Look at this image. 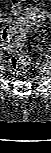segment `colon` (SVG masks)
I'll return each mask as SVG.
<instances>
[{"label":"colon","instance_id":"1","mask_svg":"<svg viewBox=\"0 0 51 153\" xmlns=\"http://www.w3.org/2000/svg\"><path fill=\"white\" fill-rule=\"evenodd\" d=\"M11 9L17 13L19 10V0L11 1ZM33 16L41 13L39 11H29ZM37 25L25 18H19L15 21H9L4 24L2 29V44L4 48L12 54L11 67L19 75H24L30 68V59L23 51L28 32L36 31Z\"/></svg>","mask_w":51,"mask_h":153}]
</instances>
